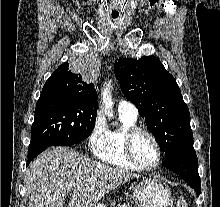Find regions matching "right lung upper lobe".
<instances>
[{
	"mask_svg": "<svg viewBox=\"0 0 220 207\" xmlns=\"http://www.w3.org/2000/svg\"><path fill=\"white\" fill-rule=\"evenodd\" d=\"M49 92L79 95L94 102L98 99L94 85L83 81L80 74L70 70L67 62L60 65L46 81L42 93Z\"/></svg>",
	"mask_w": 220,
	"mask_h": 207,
	"instance_id": "cb5924a9",
	"label": "right lung upper lobe"
}]
</instances>
